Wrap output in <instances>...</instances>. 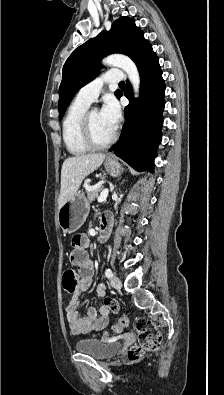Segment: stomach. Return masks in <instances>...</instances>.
Listing matches in <instances>:
<instances>
[{
	"instance_id": "obj_1",
	"label": "stomach",
	"mask_w": 224,
	"mask_h": 395,
	"mask_svg": "<svg viewBox=\"0 0 224 395\" xmlns=\"http://www.w3.org/2000/svg\"><path fill=\"white\" fill-rule=\"evenodd\" d=\"M106 171L116 177L122 172L120 163L115 159H107L104 163ZM89 213V202L83 193H76L58 210V223L65 232L77 231Z\"/></svg>"
}]
</instances>
